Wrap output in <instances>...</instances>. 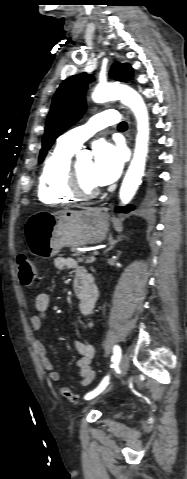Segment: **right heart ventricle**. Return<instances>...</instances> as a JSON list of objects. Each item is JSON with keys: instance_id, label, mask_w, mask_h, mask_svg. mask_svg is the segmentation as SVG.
<instances>
[{"instance_id": "obj_1", "label": "right heart ventricle", "mask_w": 187, "mask_h": 479, "mask_svg": "<svg viewBox=\"0 0 187 479\" xmlns=\"http://www.w3.org/2000/svg\"><path fill=\"white\" fill-rule=\"evenodd\" d=\"M76 150L62 145L56 146L47 156L38 179V198L42 203L55 205L76 199L67 189L66 176Z\"/></svg>"}]
</instances>
